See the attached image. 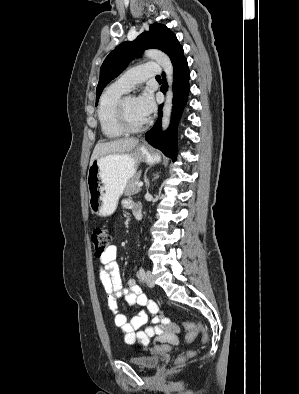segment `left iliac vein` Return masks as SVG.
<instances>
[{
  "instance_id": "4c4485c4",
  "label": "left iliac vein",
  "mask_w": 299,
  "mask_h": 394,
  "mask_svg": "<svg viewBox=\"0 0 299 394\" xmlns=\"http://www.w3.org/2000/svg\"><path fill=\"white\" fill-rule=\"evenodd\" d=\"M145 281H146V284L148 287H150V288L154 287V285H155L154 278H153L151 271H149V270L146 272Z\"/></svg>"
}]
</instances>
